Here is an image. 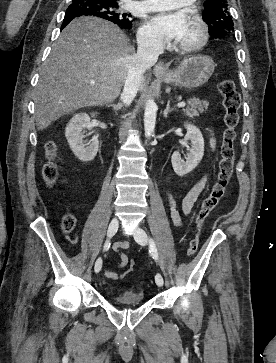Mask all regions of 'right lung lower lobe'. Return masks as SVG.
Listing matches in <instances>:
<instances>
[{
	"mask_svg": "<svg viewBox=\"0 0 276 363\" xmlns=\"http://www.w3.org/2000/svg\"><path fill=\"white\" fill-rule=\"evenodd\" d=\"M80 16H96V15L95 14H90V13H88L86 11H76L74 13L65 14L61 29H63L66 25H68L71 20H73L76 17H80ZM131 27H132L131 24L120 26L121 29H127V30H130Z\"/></svg>",
	"mask_w": 276,
	"mask_h": 363,
	"instance_id": "right-lung-lower-lobe-1",
	"label": "right lung lower lobe"
}]
</instances>
